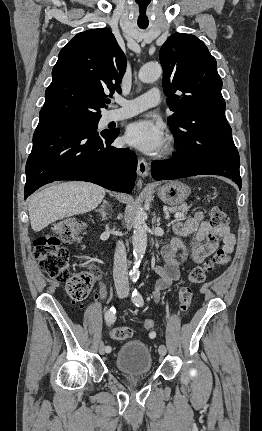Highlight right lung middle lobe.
Listing matches in <instances>:
<instances>
[{
  "label": "right lung middle lobe",
  "instance_id": "1",
  "mask_svg": "<svg viewBox=\"0 0 262 431\" xmlns=\"http://www.w3.org/2000/svg\"><path fill=\"white\" fill-rule=\"evenodd\" d=\"M99 119H100V117L87 118V119H75V120H70V121L80 122V123L88 126L91 129L97 130Z\"/></svg>",
  "mask_w": 262,
  "mask_h": 431
}]
</instances>
